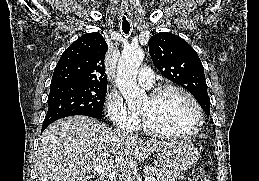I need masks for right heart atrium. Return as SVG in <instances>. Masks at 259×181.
<instances>
[{
    "mask_svg": "<svg viewBox=\"0 0 259 181\" xmlns=\"http://www.w3.org/2000/svg\"><path fill=\"white\" fill-rule=\"evenodd\" d=\"M105 112L115 128L132 131L136 128L138 115L130 111L123 99L116 93H109L105 99Z\"/></svg>",
    "mask_w": 259,
    "mask_h": 181,
    "instance_id": "d8ad5b80",
    "label": "right heart atrium"
}]
</instances>
